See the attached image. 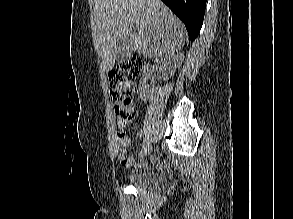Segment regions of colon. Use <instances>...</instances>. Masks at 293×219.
<instances>
[{"mask_svg":"<svg viewBox=\"0 0 293 219\" xmlns=\"http://www.w3.org/2000/svg\"><path fill=\"white\" fill-rule=\"evenodd\" d=\"M144 64L141 57L133 56L109 72L110 97L115 105L120 131L131 126L136 119L137 110L134 102L137 91L136 78L143 70Z\"/></svg>","mask_w":293,"mask_h":219,"instance_id":"5ec220e1","label":"colon"}]
</instances>
